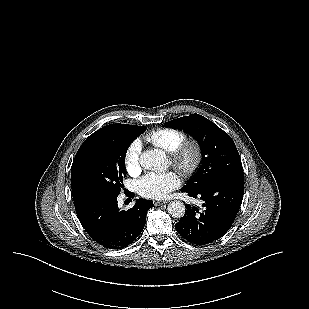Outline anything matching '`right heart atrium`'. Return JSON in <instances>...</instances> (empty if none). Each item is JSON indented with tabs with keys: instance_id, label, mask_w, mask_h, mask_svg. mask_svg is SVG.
<instances>
[{
	"instance_id": "obj_1",
	"label": "right heart atrium",
	"mask_w": 309,
	"mask_h": 309,
	"mask_svg": "<svg viewBox=\"0 0 309 309\" xmlns=\"http://www.w3.org/2000/svg\"><path fill=\"white\" fill-rule=\"evenodd\" d=\"M142 145L139 141H133L125 151L124 163L128 173L136 175L141 171Z\"/></svg>"
}]
</instances>
